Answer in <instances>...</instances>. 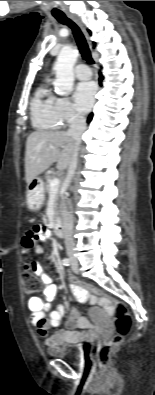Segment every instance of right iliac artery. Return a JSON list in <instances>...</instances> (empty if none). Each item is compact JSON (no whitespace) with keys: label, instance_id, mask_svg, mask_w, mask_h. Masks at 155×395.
I'll list each match as a JSON object with an SVG mask.
<instances>
[{"label":"right iliac artery","instance_id":"obj_1","mask_svg":"<svg viewBox=\"0 0 155 395\" xmlns=\"http://www.w3.org/2000/svg\"><path fill=\"white\" fill-rule=\"evenodd\" d=\"M62 262H63V265H65V266H69L71 264V261L69 258H64Z\"/></svg>","mask_w":155,"mask_h":395}]
</instances>
